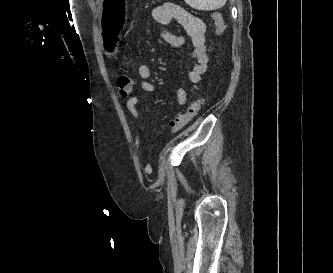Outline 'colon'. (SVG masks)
<instances>
[{
	"label": "colon",
	"instance_id": "1",
	"mask_svg": "<svg viewBox=\"0 0 333 273\" xmlns=\"http://www.w3.org/2000/svg\"><path fill=\"white\" fill-rule=\"evenodd\" d=\"M211 18L215 25L216 34H221L224 30L222 16L218 12H214ZM117 85L122 97L128 98L133 92V79L125 73H121L117 78ZM203 105V99H196L190 103L184 113L178 114L170 121V128L173 132L180 130L190 120H192L200 111Z\"/></svg>",
	"mask_w": 333,
	"mask_h": 273
}]
</instances>
